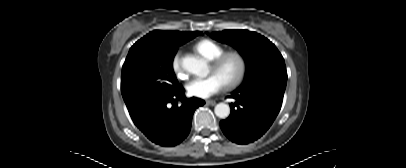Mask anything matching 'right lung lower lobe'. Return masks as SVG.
<instances>
[{
    "label": "right lung lower lobe",
    "instance_id": "obj_1",
    "mask_svg": "<svg viewBox=\"0 0 406 168\" xmlns=\"http://www.w3.org/2000/svg\"><path fill=\"white\" fill-rule=\"evenodd\" d=\"M184 92L180 85L172 93L131 115L135 125L149 140L171 147L188 136L193 113L205 102L195 97L187 99ZM178 101H181L180 106L177 105Z\"/></svg>",
    "mask_w": 406,
    "mask_h": 168
}]
</instances>
